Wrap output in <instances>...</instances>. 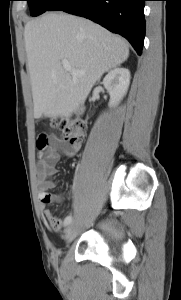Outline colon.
Segmentation results:
<instances>
[{
  "mask_svg": "<svg viewBox=\"0 0 181 300\" xmlns=\"http://www.w3.org/2000/svg\"><path fill=\"white\" fill-rule=\"evenodd\" d=\"M53 127L60 128L65 141L73 148L79 147L85 137V125L78 120L60 119L51 122ZM48 145V138L42 136L37 141L38 147Z\"/></svg>",
  "mask_w": 181,
  "mask_h": 300,
  "instance_id": "5ec220e1",
  "label": "colon"
}]
</instances>
